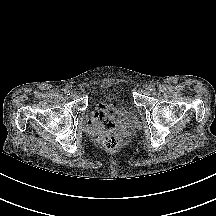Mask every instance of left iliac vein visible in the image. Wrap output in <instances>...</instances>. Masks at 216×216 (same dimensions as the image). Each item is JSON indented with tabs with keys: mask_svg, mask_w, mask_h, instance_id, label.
Here are the masks:
<instances>
[{
	"mask_svg": "<svg viewBox=\"0 0 216 216\" xmlns=\"http://www.w3.org/2000/svg\"><path fill=\"white\" fill-rule=\"evenodd\" d=\"M143 91H144L145 94H149L150 93L149 87H146Z\"/></svg>",
	"mask_w": 216,
	"mask_h": 216,
	"instance_id": "1",
	"label": "left iliac vein"
}]
</instances>
